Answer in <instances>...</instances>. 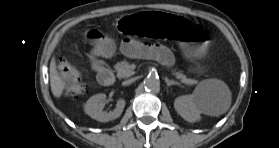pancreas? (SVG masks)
I'll return each mask as SVG.
<instances>
[{
  "label": "pancreas",
  "mask_w": 279,
  "mask_h": 148,
  "mask_svg": "<svg viewBox=\"0 0 279 148\" xmlns=\"http://www.w3.org/2000/svg\"><path fill=\"white\" fill-rule=\"evenodd\" d=\"M115 68L119 78H127L134 74L131 65L127 61H121L117 63ZM172 74L184 84L194 85L198 83L197 80L187 78L186 75L182 73V71L172 70Z\"/></svg>",
  "instance_id": "1"
}]
</instances>
